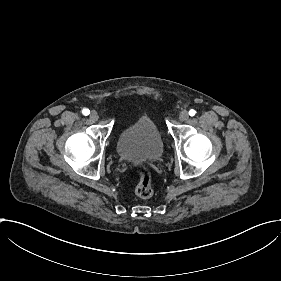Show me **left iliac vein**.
Segmentation results:
<instances>
[{"label": "left iliac vein", "mask_w": 281, "mask_h": 281, "mask_svg": "<svg viewBox=\"0 0 281 281\" xmlns=\"http://www.w3.org/2000/svg\"><path fill=\"white\" fill-rule=\"evenodd\" d=\"M189 117V112L187 110H182L180 112V119L185 121Z\"/></svg>", "instance_id": "left-iliac-vein-1"}]
</instances>
